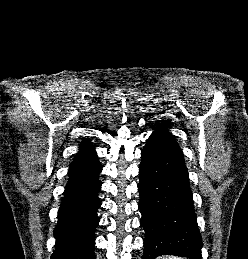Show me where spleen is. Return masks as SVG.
Listing matches in <instances>:
<instances>
[{
  "mask_svg": "<svg viewBox=\"0 0 248 259\" xmlns=\"http://www.w3.org/2000/svg\"><path fill=\"white\" fill-rule=\"evenodd\" d=\"M163 259H185V258L177 257V256H168V257H164Z\"/></svg>",
  "mask_w": 248,
  "mask_h": 259,
  "instance_id": "1",
  "label": "spleen"
}]
</instances>
